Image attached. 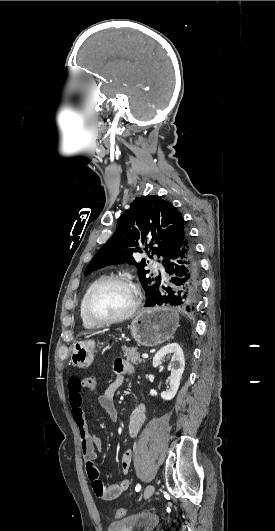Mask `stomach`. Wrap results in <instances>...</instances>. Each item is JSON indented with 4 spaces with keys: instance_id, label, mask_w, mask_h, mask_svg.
<instances>
[{
    "instance_id": "0dacf381",
    "label": "stomach",
    "mask_w": 275,
    "mask_h": 531,
    "mask_svg": "<svg viewBox=\"0 0 275 531\" xmlns=\"http://www.w3.org/2000/svg\"><path fill=\"white\" fill-rule=\"evenodd\" d=\"M179 327V315L167 307H151L142 309L134 317L130 331L133 339L143 347H157L173 337ZM103 345V343H101ZM99 349L94 339L75 341L72 345L70 357L73 367L87 369L94 361L95 353Z\"/></svg>"
}]
</instances>
